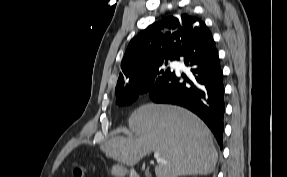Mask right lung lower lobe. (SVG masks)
Wrapping results in <instances>:
<instances>
[{"instance_id": "1", "label": "right lung lower lobe", "mask_w": 287, "mask_h": 177, "mask_svg": "<svg viewBox=\"0 0 287 177\" xmlns=\"http://www.w3.org/2000/svg\"><path fill=\"white\" fill-rule=\"evenodd\" d=\"M179 58L191 67L192 76L181 81V77L172 72L147 94L155 103L180 105L194 112L211 129L222 148L224 85L218 53L209 29L189 42Z\"/></svg>"}]
</instances>
